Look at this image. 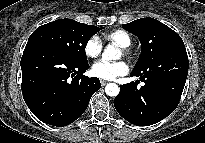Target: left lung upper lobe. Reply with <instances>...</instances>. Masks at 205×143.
Wrapping results in <instances>:
<instances>
[{
	"mask_svg": "<svg viewBox=\"0 0 205 143\" xmlns=\"http://www.w3.org/2000/svg\"><path fill=\"white\" fill-rule=\"evenodd\" d=\"M123 28L138 36L142 46L141 55L132 72L147 70L166 51L184 46L175 31L154 18L137 19L124 24Z\"/></svg>",
	"mask_w": 205,
	"mask_h": 143,
	"instance_id": "5c2ea615",
	"label": "left lung upper lobe"
}]
</instances>
